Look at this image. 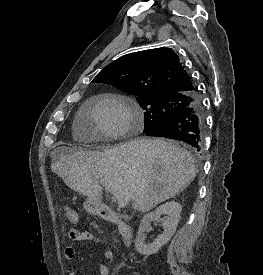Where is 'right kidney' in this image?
Segmentation results:
<instances>
[{"mask_svg": "<svg viewBox=\"0 0 263 275\" xmlns=\"http://www.w3.org/2000/svg\"><path fill=\"white\" fill-rule=\"evenodd\" d=\"M182 207L178 202L170 201L157 207L155 211L144 215L137 232L135 239V248L139 254L150 256L159 251V249L169 242L180 220V214ZM168 215L167 219L162 220V226L164 229L163 234H160L156 240L150 244L145 243L146 234L145 231L149 229L152 221H161V215Z\"/></svg>", "mask_w": 263, "mask_h": 275, "instance_id": "ca27d5eb", "label": "right kidney"}]
</instances>
